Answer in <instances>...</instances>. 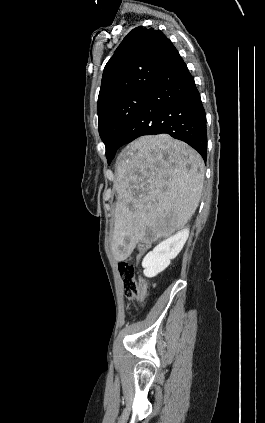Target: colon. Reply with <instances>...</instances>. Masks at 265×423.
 Returning <instances> with one entry per match:
<instances>
[{"instance_id":"obj_1","label":"colon","mask_w":265,"mask_h":423,"mask_svg":"<svg viewBox=\"0 0 265 423\" xmlns=\"http://www.w3.org/2000/svg\"><path fill=\"white\" fill-rule=\"evenodd\" d=\"M118 270L124 282V294L128 299H143L147 294V282L137 276V266L130 260L120 261Z\"/></svg>"}]
</instances>
